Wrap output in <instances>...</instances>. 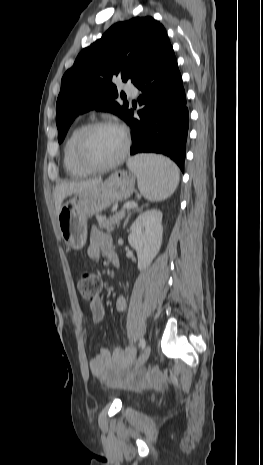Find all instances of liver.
<instances>
[{
    "label": "liver",
    "instance_id": "6515ba94",
    "mask_svg": "<svg viewBox=\"0 0 263 465\" xmlns=\"http://www.w3.org/2000/svg\"><path fill=\"white\" fill-rule=\"evenodd\" d=\"M101 183H102V179L96 178V179L80 181V182L58 184L54 190V202H55L56 215L58 216L60 209L62 207L63 200L66 197L72 194L83 192Z\"/></svg>",
    "mask_w": 263,
    "mask_h": 465
}]
</instances>
